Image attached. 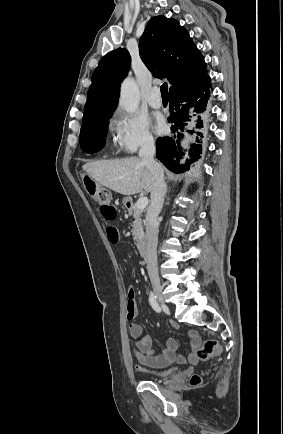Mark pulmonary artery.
I'll return each mask as SVG.
<instances>
[{"label":"pulmonary artery","instance_id":"1","mask_svg":"<svg viewBox=\"0 0 283 434\" xmlns=\"http://www.w3.org/2000/svg\"><path fill=\"white\" fill-rule=\"evenodd\" d=\"M148 103L152 108L159 109L162 106L160 91L158 87H153L148 97Z\"/></svg>","mask_w":283,"mask_h":434}]
</instances>
